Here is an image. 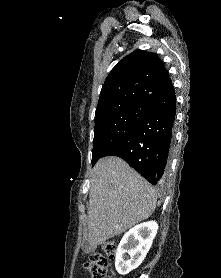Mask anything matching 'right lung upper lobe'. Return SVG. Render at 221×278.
Returning a JSON list of instances; mask_svg holds the SVG:
<instances>
[{
    "mask_svg": "<svg viewBox=\"0 0 221 278\" xmlns=\"http://www.w3.org/2000/svg\"><path fill=\"white\" fill-rule=\"evenodd\" d=\"M172 86L159 57L137 50L124 57L107 76L95 116L135 101H144Z\"/></svg>",
    "mask_w": 221,
    "mask_h": 278,
    "instance_id": "right-lung-upper-lobe-1",
    "label": "right lung upper lobe"
}]
</instances>
